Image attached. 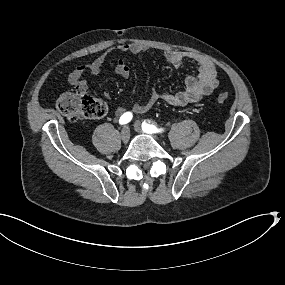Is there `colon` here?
Here are the masks:
<instances>
[{
	"label": "colon",
	"instance_id": "colon-1",
	"mask_svg": "<svg viewBox=\"0 0 285 285\" xmlns=\"http://www.w3.org/2000/svg\"><path fill=\"white\" fill-rule=\"evenodd\" d=\"M228 98L229 94L226 91L217 95V100L221 103ZM56 109L71 122L99 119L107 112L105 102L78 89L60 94L56 100Z\"/></svg>",
	"mask_w": 285,
	"mask_h": 285
}]
</instances>
